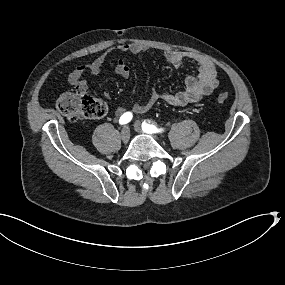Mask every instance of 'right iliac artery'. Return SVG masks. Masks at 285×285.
<instances>
[{"mask_svg": "<svg viewBox=\"0 0 285 285\" xmlns=\"http://www.w3.org/2000/svg\"><path fill=\"white\" fill-rule=\"evenodd\" d=\"M132 118H133L132 113H131V112H126V113H124V114L120 117L119 123H120L121 125L127 124L128 122H130V121L132 120Z\"/></svg>", "mask_w": 285, "mask_h": 285, "instance_id": "82829eb1", "label": "right iliac artery"}]
</instances>
